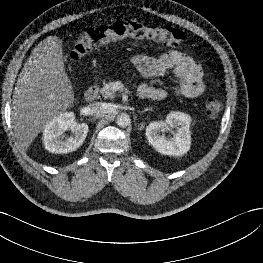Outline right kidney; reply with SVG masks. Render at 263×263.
I'll list each match as a JSON object with an SVG mask.
<instances>
[{
	"label": "right kidney",
	"mask_w": 263,
	"mask_h": 263,
	"mask_svg": "<svg viewBox=\"0 0 263 263\" xmlns=\"http://www.w3.org/2000/svg\"><path fill=\"white\" fill-rule=\"evenodd\" d=\"M74 119V113L65 112L48 122L43 131V142L46 150L64 154L77 150L83 144L88 133V125L79 124ZM68 129L74 135L63 140L61 135Z\"/></svg>",
	"instance_id": "1"
}]
</instances>
